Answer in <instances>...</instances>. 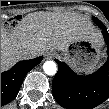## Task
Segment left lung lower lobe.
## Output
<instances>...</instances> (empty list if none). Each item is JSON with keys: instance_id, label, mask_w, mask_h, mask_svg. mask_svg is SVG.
<instances>
[{"instance_id": "0a47b994", "label": "left lung lower lobe", "mask_w": 109, "mask_h": 109, "mask_svg": "<svg viewBox=\"0 0 109 109\" xmlns=\"http://www.w3.org/2000/svg\"><path fill=\"white\" fill-rule=\"evenodd\" d=\"M102 29L107 44L108 59L93 74L77 75L64 62L55 60L58 72L52 82L55 100L66 109H92L109 98V32L102 22L94 20Z\"/></svg>"}]
</instances>
